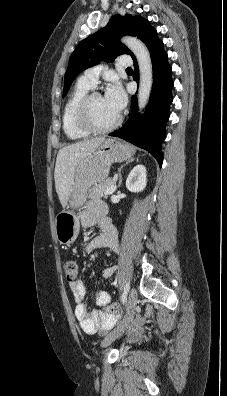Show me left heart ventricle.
Listing matches in <instances>:
<instances>
[{"instance_id":"b2bd125f","label":"left heart ventricle","mask_w":227,"mask_h":396,"mask_svg":"<svg viewBox=\"0 0 227 396\" xmlns=\"http://www.w3.org/2000/svg\"><path fill=\"white\" fill-rule=\"evenodd\" d=\"M90 110L92 119L98 126L111 124L119 115L106 103L102 95L92 99Z\"/></svg>"}]
</instances>
